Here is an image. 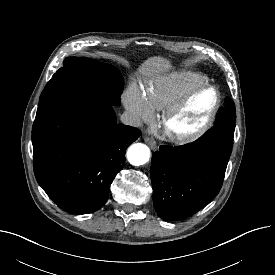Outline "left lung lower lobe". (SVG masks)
<instances>
[{
    "label": "left lung lower lobe",
    "mask_w": 275,
    "mask_h": 275,
    "mask_svg": "<svg viewBox=\"0 0 275 275\" xmlns=\"http://www.w3.org/2000/svg\"><path fill=\"white\" fill-rule=\"evenodd\" d=\"M222 107L216 121L226 116ZM235 128L215 124L196 141L160 146L150 168L154 208L164 220H183L202 209L220 191Z\"/></svg>",
    "instance_id": "1"
}]
</instances>
